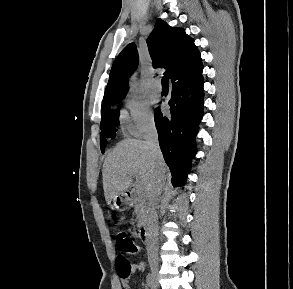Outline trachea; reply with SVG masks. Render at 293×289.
Returning <instances> with one entry per match:
<instances>
[{"label": "trachea", "instance_id": "3493384b", "mask_svg": "<svg viewBox=\"0 0 293 289\" xmlns=\"http://www.w3.org/2000/svg\"><path fill=\"white\" fill-rule=\"evenodd\" d=\"M161 82H162L163 87H168L169 83H168V78L167 77L164 76L162 78Z\"/></svg>", "mask_w": 293, "mask_h": 289}]
</instances>
